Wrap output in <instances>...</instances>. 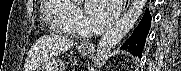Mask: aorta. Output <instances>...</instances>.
<instances>
[{"label":"aorta","instance_id":"aorta-1","mask_svg":"<svg viewBox=\"0 0 181 71\" xmlns=\"http://www.w3.org/2000/svg\"><path fill=\"white\" fill-rule=\"evenodd\" d=\"M147 0H132L129 10L124 16L107 31L97 47L95 66L101 67L110 51L130 32L138 18L141 16Z\"/></svg>","mask_w":181,"mask_h":71}]
</instances>
